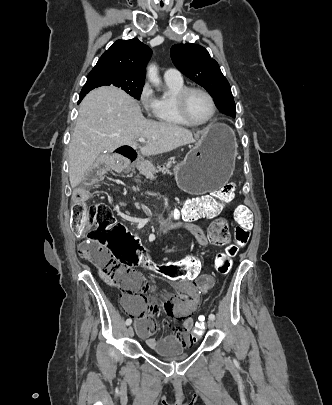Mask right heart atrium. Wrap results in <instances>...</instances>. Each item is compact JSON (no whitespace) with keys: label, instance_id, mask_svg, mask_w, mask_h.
Here are the masks:
<instances>
[{"label":"right heart atrium","instance_id":"d8ad5b80","mask_svg":"<svg viewBox=\"0 0 332 405\" xmlns=\"http://www.w3.org/2000/svg\"><path fill=\"white\" fill-rule=\"evenodd\" d=\"M139 102L145 111L152 115L156 107V98L153 95L152 89L149 84H144L138 95Z\"/></svg>","mask_w":332,"mask_h":405}]
</instances>
